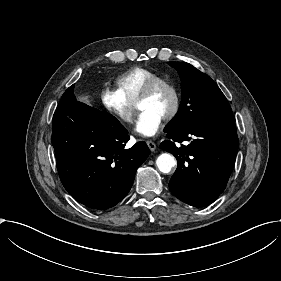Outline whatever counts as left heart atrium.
Instances as JSON below:
<instances>
[{
    "mask_svg": "<svg viewBox=\"0 0 281 281\" xmlns=\"http://www.w3.org/2000/svg\"><path fill=\"white\" fill-rule=\"evenodd\" d=\"M163 120L147 110H142L136 124V132L145 137L157 134Z\"/></svg>",
    "mask_w": 281,
    "mask_h": 281,
    "instance_id": "obj_1",
    "label": "left heart atrium"
}]
</instances>
